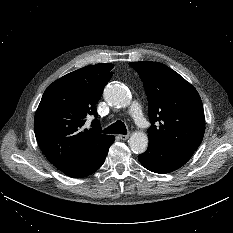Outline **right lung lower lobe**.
<instances>
[{
	"mask_svg": "<svg viewBox=\"0 0 233 233\" xmlns=\"http://www.w3.org/2000/svg\"><path fill=\"white\" fill-rule=\"evenodd\" d=\"M114 140L115 137L113 136V138L109 141V143L106 146H104L102 150L99 153H97L95 156L88 159L86 162L63 172L66 175L75 178L85 177L94 173L104 163L109 147L113 144Z\"/></svg>",
	"mask_w": 233,
	"mask_h": 233,
	"instance_id": "1",
	"label": "right lung lower lobe"
}]
</instances>
